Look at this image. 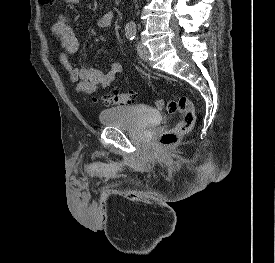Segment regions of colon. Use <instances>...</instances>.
<instances>
[{"instance_id": "obj_1", "label": "colon", "mask_w": 275, "mask_h": 263, "mask_svg": "<svg viewBox=\"0 0 275 263\" xmlns=\"http://www.w3.org/2000/svg\"><path fill=\"white\" fill-rule=\"evenodd\" d=\"M44 5L52 6L55 0H40ZM137 94L134 91L124 93H111L104 95L100 101L104 105L117 106L131 104L136 101ZM97 102L98 99H93ZM156 106L160 110H165L168 114H181V120L172 128L163 131L158 139V144L162 147H172L176 145L180 139L188 134L194 127L196 122V113L192 101L185 96L174 100L158 99Z\"/></svg>"}]
</instances>
